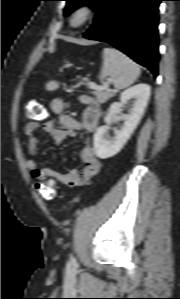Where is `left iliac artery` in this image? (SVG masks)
Masks as SVG:
<instances>
[{"label":"left iliac artery","mask_w":180,"mask_h":299,"mask_svg":"<svg viewBox=\"0 0 180 299\" xmlns=\"http://www.w3.org/2000/svg\"><path fill=\"white\" fill-rule=\"evenodd\" d=\"M70 259H71L72 263H75V259H74V257L72 255H71Z\"/></svg>","instance_id":"obj_1"}]
</instances>
